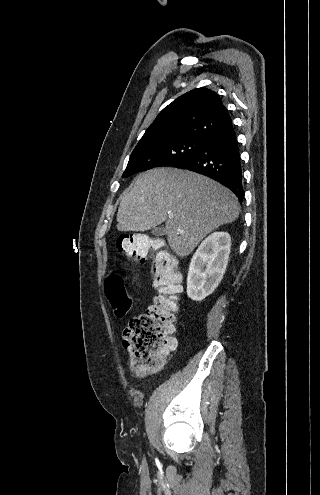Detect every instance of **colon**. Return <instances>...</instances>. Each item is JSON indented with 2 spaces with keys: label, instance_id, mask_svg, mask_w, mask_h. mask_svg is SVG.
<instances>
[{
  "label": "colon",
  "instance_id": "5ec220e1",
  "mask_svg": "<svg viewBox=\"0 0 320 495\" xmlns=\"http://www.w3.org/2000/svg\"><path fill=\"white\" fill-rule=\"evenodd\" d=\"M116 247L134 262L151 259L153 286L159 293L147 312L132 318L123 332L122 342L129 354L130 369L141 378L162 369L176 348L172 332L175 313L179 309L181 275L165 243L145 233L121 235ZM104 291L116 315L125 316L131 307V298L120 274H108Z\"/></svg>",
  "mask_w": 320,
  "mask_h": 495
}]
</instances>
